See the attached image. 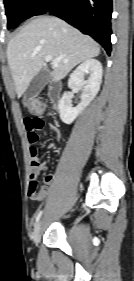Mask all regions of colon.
Segmentation results:
<instances>
[{"instance_id":"colon-1","label":"colon","mask_w":134,"mask_h":281,"mask_svg":"<svg viewBox=\"0 0 134 281\" xmlns=\"http://www.w3.org/2000/svg\"><path fill=\"white\" fill-rule=\"evenodd\" d=\"M29 109L32 113L39 114L45 109V105L39 101L31 102ZM43 189L39 187L37 181H31L29 185V195L33 200L39 201L43 198Z\"/></svg>"}]
</instances>
